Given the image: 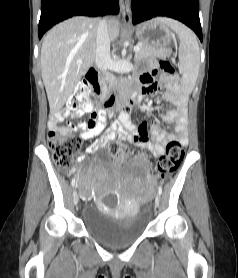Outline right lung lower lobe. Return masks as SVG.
Masks as SVG:
<instances>
[{
  "label": "right lung lower lobe",
  "mask_w": 238,
  "mask_h": 278,
  "mask_svg": "<svg viewBox=\"0 0 238 278\" xmlns=\"http://www.w3.org/2000/svg\"><path fill=\"white\" fill-rule=\"evenodd\" d=\"M118 12V0H42L39 39L53 25L72 16H102Z\"/></svg>",
  "instance_id": "1"
}]
</instances>
